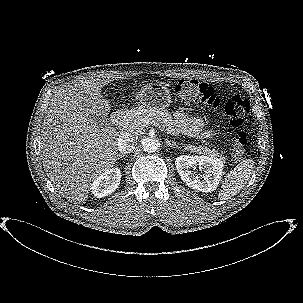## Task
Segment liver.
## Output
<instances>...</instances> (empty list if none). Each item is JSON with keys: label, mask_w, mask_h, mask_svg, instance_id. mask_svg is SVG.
Returning a JSON list of instances; mask_svg holds the SVG:
<instances>
[{"label": "liver", "mask_w": 303, "mask_h": 303, "mask_svg": "<svg viewBox=\"0 0 303 303\" xmlns=\"http://www.w3.org/2000/svg\"><path fill=\"white\" fill-rule=\"evenodd\" d=\"M112 78H85L56 91L43 122V167L55 189L75 204L85 203L93 181L118 157V132L93 120L109 114L100 90Z\"/></svg>", "instance_id": "6515ba94"}]
</instances>
